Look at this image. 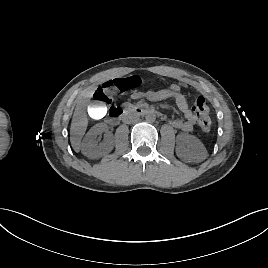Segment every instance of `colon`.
Segmentation results:
<instances>
[{
	"instance_id": "colon-1",
	"label": "colon",
	"mask_w": 268,
	"mask_h": 268,
	"mask_svg": "<svg viewBox=\"0 0 268 268\" xmlns=\"http://www.w3.org/2000/svg\"><path fill=\"white\" fill-rule=\"evenodd\" d=\"M141 84L138 76H130L110 80L102 84L94 93V100L104 104H110L115 93H125L135 89ZM193 111L199 116V126L204 133H208L212 127L210 109L204 97L199 96L194 101Z\"/></svg>"
}]
</instances>
